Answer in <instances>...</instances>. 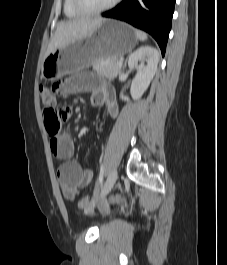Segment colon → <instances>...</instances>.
<instances>
[{
    "mask_svg": "<svg viewBox=\"0 0 227 265\" xmlns=\"http://www.w3.org/2000/svg\"><path fill=\"white\" fill-rule=\"evenodd\" d=\"M56 92L57 88L50 89L44 86L40 88L42 101L46 105L44 111L45 127L50 136L56 135L60 131L61 123L65 121L70 114V112H60V107L57 105ZM93 201V197H84L81 199L79 206L84 209H89ZM110 201L112 203H123L125 199L120 195H115Z\"/></svg>",
    "mask_w": 227,
    "mask_h": 265,
    "instance_id": "5ec220e1",
    "label": "colon"
}]
</instances>
